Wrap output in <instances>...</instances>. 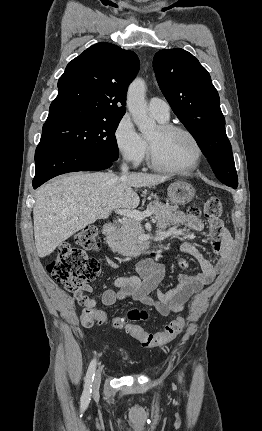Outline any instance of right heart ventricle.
Returning <instances> with one entry per match:
<instances>
[{
    "label": "right heart ventricle",
    "mask_w": 262,
    "mask_h": 431,
    "mask_svg": "<svg viewBox=\"0 0 262 431\" xmlns=\"http://www.w3.org/2000/svg\"><path fill=\"white\" fill-rule=\"evenodd\" d=\"M155 117V116H154ZM156 118V117H155ZM157 119V118H156ZM160 123H166L167 120H159L157 119Z\"/></svg>",
    "instance_id": "right-heart-ventricle-1"
}]
</instances>
